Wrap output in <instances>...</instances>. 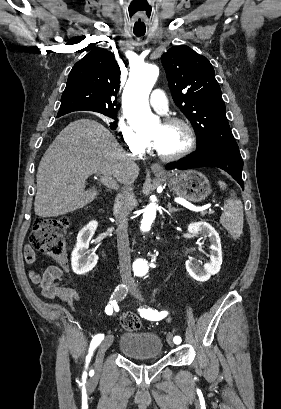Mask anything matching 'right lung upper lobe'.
<instances>
[{"label": "right lung upper lobe", "instance_id": "obj_1", "mask_svg": "<svg viewBox=\"0 0 281 409\" xmlns=\"http://www.w3.org/2000/svg\"><path fill=\"white\" fill-rule=\"evenodd\" d=\"M120 69L113 54L94 48L72 68L57 117L74 111H116Z\"/></svg>", "mask_w": 281, "mask_h": 409}]
</instances>
